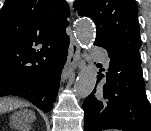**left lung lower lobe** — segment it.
Here are the masks:
<instances>
[{
  "label": "left lung lower lobe",
  "mask_w": 151,
  "mask_h": 131,
  "mask_svg": "<svg viewBox=\"0 0 151 131\" xmlns=\"http://www.w3.org/2000/svg\"><path fill=\"white\" fill-rule=\"evenodd\" d=\"M103 78L99 72V85L83 102L84 131H151V107L140 65H127L111 58Z\"/></svg>",
  "instance_id": "obj_1"
}]
</instances>
